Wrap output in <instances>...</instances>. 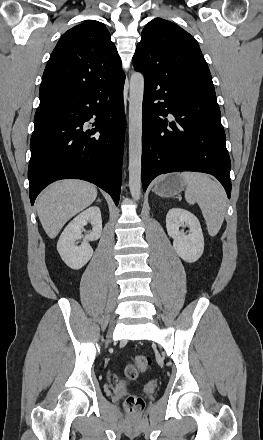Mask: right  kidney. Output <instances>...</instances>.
Here are the masks:
<instances>
[{
  "label": "right kidney",
  "instance_id": "obj_1",
  "mask_svg": "<svg viewBox=\"0 0 263 440\" xmlns=\"http://www.w3.org/2000/svg\"><path fill=\"white\" fill-rule=\"evenodd\" d=\"M90 222L93 226L89 235L83 238L81 245L77 240L82 238V229ZM102 232V218L99 207L92 206L77 215L64 229L58 243L57 250L62 260L72 269L82 268L92 257L93 249L89 241L98 240Z\"/></svg>",
  "mask_w": 263,
  "mask_h": 440
}]
</instances>
